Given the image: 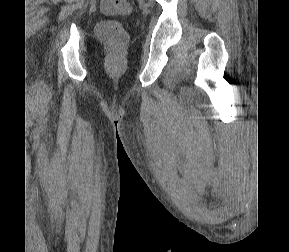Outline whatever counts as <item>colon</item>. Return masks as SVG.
Returning <instances> with one entry per match:
<instances>
[{"label": "colon", "mask_w": 289, "mask_h": 252, "mask_svg": "<svg viewBox=\"0 0 289 252\" xmlns=\"http://www.w3.org/2000/svg\"><path fill=\"white\" fill-rule=\"evenodd\" d=\"M100 10L105 15L122 14L131 12V6L126 0H101ZM97 36L117 54L127 42V33L120 22L104 20L96 27Z\"/></svg>", "instance_id": "obj_1"}]
</instances>
